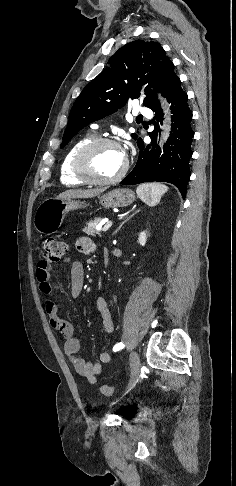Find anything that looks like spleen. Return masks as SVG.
I'll list each match as a JSON object with an SVG mask.
<instances>
[{
	"label": "spleen",
	"mask_w": 236,
	"mask_h": 486,
	"mask_svg": "<svg viewBox=\"0 0 236 486\" xmlns=\"http://www.w3.org/2000/svg\"><path fill=\"white\" fill-rule=\"evenodd\" d=\"M167 191L168 187L161 183H144L136 189L138 197L149 206L157 205Z\"/></svg>",
	"instance_id": "obj_1"
}]
</instances>
